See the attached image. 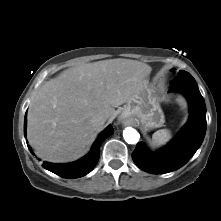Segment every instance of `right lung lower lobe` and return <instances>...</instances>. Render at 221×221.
Here are the masks:
<instances>
[{"mask_svg": "<svg viewBox=\"0 0 221 221\" xmlns=\"http://www.w3.org/2000/svg\"><path fill=\"white\" fill-rule=\"evenodd\" d=\"M26 124L27 117L25 115L24 120V135L26 136ZM114 132L113 127L109 125L97 138L92 146L91 151L78 161L68 164H53L49 162H43V168L67 179L79 178L88 174L97 164L99 160V148L100 144ZM32 154L30 146H28Z\"/></svg>", "mask_w": 221, "mask_h": 221, "instance_id": "98d812e1", "label": "right lung lower lobe"}]
</instances>
